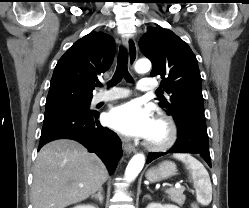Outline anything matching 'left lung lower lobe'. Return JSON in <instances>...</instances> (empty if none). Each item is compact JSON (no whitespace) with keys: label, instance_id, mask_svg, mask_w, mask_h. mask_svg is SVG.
<instances>
[{"label":"left lung lower lobe","instance_id":"left-lung-lower-lobe-1","mask_svg":"<svg viewBox=\"0 0 249 208\" xmlns=\"http://www.w3.org/2000/svg\"><path fill=\"white\" fill-rule=\"evenodd\" d=\"M174 120L178 128L176 143L165 153H149L147 163L167 153H198L211 167L205 116L183 113Z\"/></svg>","mask_w":249,"mask_h":208}]
</instances>
